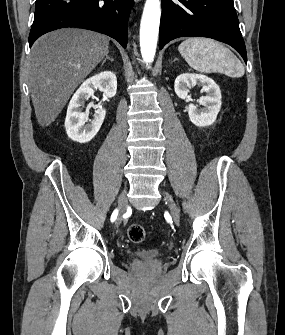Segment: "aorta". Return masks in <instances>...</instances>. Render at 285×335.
<instances>
[{
  "mask_svg": "<svg viewBox=\"0 0 285 335\" xmlns=\"http://www.w3.org/2000/svg\"><path fill=\"white\" fill-rule=\"evenodd\" d=\"M160 16L159 0H146L141 20L140 48L147 68H150L156 54Z\"/></svg>",
  "mask_w": 285,
  "mask_h": 335,
  "instance_id": "aorta-1",
  "label": "aorta"
}]
</instances>
